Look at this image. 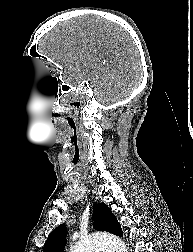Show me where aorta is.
Instances as JSON below:
<instances>
[{
	"mask_svg": "<svg viewBox=\"0 0 193 252\" xmlns=\"http://www.w3.org/2000/svg\"><path fill=\"white\" fill-rule=\"evenodd\" d=\"M128 252L125 243L109 234H93L71 244L69 252Z\"/></svg>",
	"mask_w": 193,
	"mask_h": 252,
	"instance_id": "obj_1",
	"label": "aorta"
}]
</instances>
